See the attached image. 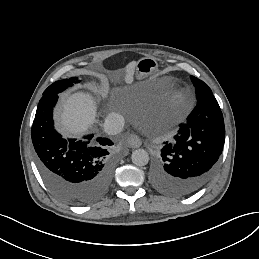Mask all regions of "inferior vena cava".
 Here are the masks:
<instances>
[{
	"label": "inferior vena cava",
	"instance_id": "inferior-vena-cava-1",
	"mask_svg": "<svg viewBox=\"0 0 259 259\" xmlns=\"http://www.w3.org/2000/svg\"><path fill=\"white\" fill-rule=\"evenodd\" d=\"M124 126V118L122 115L111 112L105 119L104 130L109 135L119 134Z\"/></svg>",
	"mask_w": 259,
	"mask_h": 259
}]
</instances>
